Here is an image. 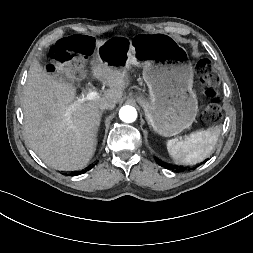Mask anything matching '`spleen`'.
<instances>
[{
    "instance_id": "1",
    "label": "spleen",
    "mask_w": 253,
    "mask_h": 253,
    "mask_svg": "<svg viewBox=\"0 0 253 253\" xmlns=\"http://www.w3.org/2000/svg\"><path fill=\"white\" fill-rule=\"evenodd\" d=\"M220 129L211 127L190 134L185 140L171 139L167 150L176 164L195 165L208 158L218 141Z\"/></svg>"
}]
</instances>
